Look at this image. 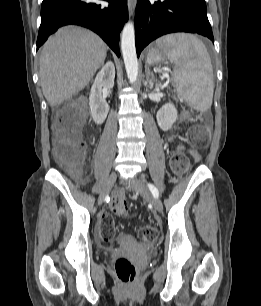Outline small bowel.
<instances>
[{"label":"small bowel","mask_w":261,"mask_h":306,"mask_svg":"<svg viewBox=\"0 0 261 306\" xmlns=\"http://www.w3.org/2000/svg\"><path fill=\"white\" fill-rule=\"evenodd\" d=\"M173 139H174V136H171V137H170V140H173ZM192 155H193V157H194L196 160L199 159V155H198V153H197L196 151H192Z\"/></svg>","instance_id":"c3829d8e"}]
</instances>
